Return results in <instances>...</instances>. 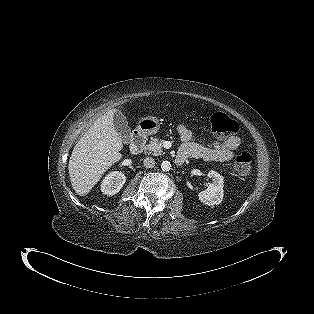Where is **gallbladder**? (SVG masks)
I'll list each match as a JSON object with an SVG mask.
<instances>
[{
	"instance_id": "bac80fb5",
	"label": "gallbladder",
	"mask_w": 314,
	"mask_h": 314,
	"mask_svg": "<svg viewBox=\"0 0 314 314\" xmlns=\"http://www.w3.org/2000/svg\"><path fill=\"white\" fill-rule=\"evenodd\" d=\"M113 123L122 142L124 144H129L132 138V133L126 117L120 111H116L114 113Z\"/></svg>"
}]
</instances>
